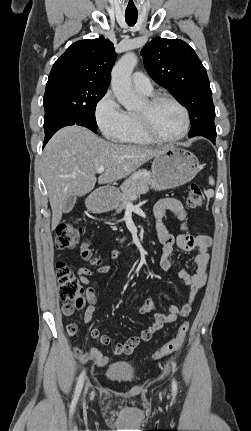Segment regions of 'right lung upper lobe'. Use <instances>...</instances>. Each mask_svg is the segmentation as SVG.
<instances>
[{"label":"right lung upper lobe","instance_id":"1","mask_svg":"<svg viewBox=\"0 0 251 431\" xmlns=\"http://www.w3.org/2000/svg\"><path fill=\"white\" fill-rule=\"evenodd\" d=\"M115 59L113 43L108 39L100 36L93 40H80L58 58L49 77L72 76L108 88Z\"/></svg>","mask_w":251,"mask_h":431}]
</instances>
